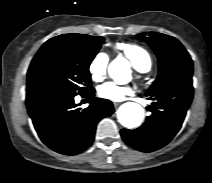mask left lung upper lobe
<instances>
[{
	"instance_id": "5c2ea615",
	"label": "left lung upper lobe",
	"mask_w": 212,
	"mask_h": 183,
	"mask_svg": "<svg viewBox=\"0 0 212 183\" xmlns=\"http://www.w3.org/2000/svg\"><path fill=\"white\" fill-rule=\"evenodd\" d=\"M138 38L151 46L159 60L158 77L148 92L175 81L192 78V59L176 38L157 32H151L149 37L141 33Z\"/></svg>"
}]
</instances>
